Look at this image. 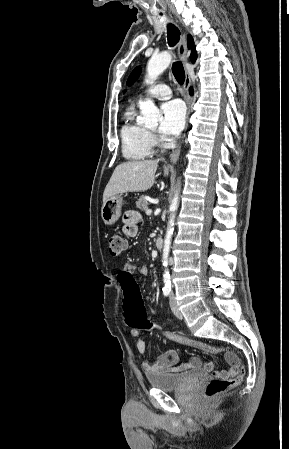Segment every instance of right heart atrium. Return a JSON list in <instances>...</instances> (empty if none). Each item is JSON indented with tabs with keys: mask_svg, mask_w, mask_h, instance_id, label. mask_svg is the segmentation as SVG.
Listing matches in <instances>:
<instances>
[{
	"mask_svg": "<svg viewBox=\"0 0 289 449\" xmlns=\"http://www.w3.org/2000/svg\"><path fill=\"white\" fill-rule=\"evenodd\" d=\"M149 136H150V140H151L152 144L153 145L156 144L157 139H156L155 135L153 133H149Z\"/></svg>",
	"mask_w": 289,
	"mask_h": 449,
	"instance_id": "obj_1",
	"label": "right heart atrium"
}]
</instances>
